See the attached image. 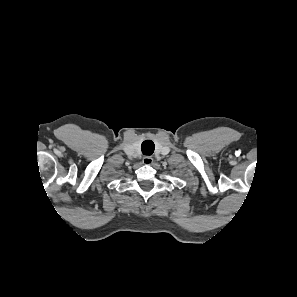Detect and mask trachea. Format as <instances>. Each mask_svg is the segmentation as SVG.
Here are the masks:
<instances>
[{
	"instance_id": "3493384b",
	"label": "trachea",
	"mask_w": 297,
	"mask_h": 297,
	"mask_svg": "<svg viewBox=\"0 0 297 297\" xmlns=\"http://www.w3.org/2000/svg\"><path fill=\"white\" fill-rule=\"evenodd\" d=\"M155 145L151 140H146L142 143L141 149L144 155H151L154 152Z\"/></svg>"
}]
</instances>
